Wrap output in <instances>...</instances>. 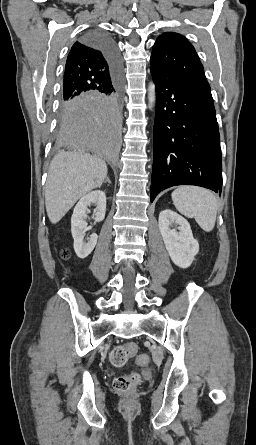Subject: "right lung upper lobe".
Returning <instances> with one entry per match:
<instances>
[{
    "label": "right lung upper lobe",
    "instance_id": "obj_1",
    "mask_svg": "<svg viewBox=\"0 0 256 445\" xmlns=\"http://www.w3.org/2000/svg\"><path fill=\"white\" fill-rule=\"evenodd\" d=\"M113 73L103 52L83 39L67 57L62 99H74L110 87Z\"/></svg>",
    "mask_w": 256,
    "mask_h": 445
}]
</instances>
